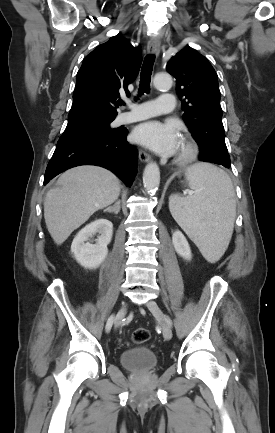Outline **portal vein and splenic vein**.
Listing matches in <instances>:
<instances>
[{
  "mask_svg": "<svg viewBox=\"0 0 275 433\" xmlns=\"http://www.w3.org/2000/svg\"><path fill=\"white\" fill-rule=\"evenodd\" d=\"M191 193H192L191 191L188 192V194H191Z\"/></svg>",
  "mask_w": 275,
  "mask_h": 433,
  "instance_id": "obj_1",
  "label": "portal vein and splenic vein"
}]
</instances>
